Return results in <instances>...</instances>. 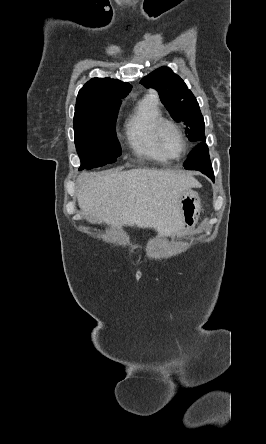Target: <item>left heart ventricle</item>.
<instances>
[{
	"mask_svg": "<svg viewBox=\"0 0 266 444\" xmlns=\"http://www.w3.org/2000/svg\"><path fill=\"white\" fill-rule=\"evenodd\" d=\"M161 144L170 156H177L181 151V139L177 131L170 125L164 126L160 136Z\"/></svg>",
	"mask_w": 266,
	"mask_h": 444,
	"instance_id": "1",
	"label": "left heart ventricle"
}]
</instances>
